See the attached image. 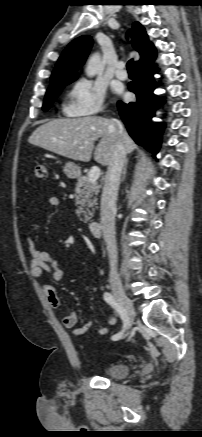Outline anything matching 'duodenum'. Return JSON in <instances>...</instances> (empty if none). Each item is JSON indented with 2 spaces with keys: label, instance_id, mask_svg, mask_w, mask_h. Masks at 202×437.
Wrapping results in <instances>:
<instances>
[{
  "label": "duodenum",
  "instance_id": "410a0bca",
  "mask_svg": "<svg viewBox=\"0 0 202 437\" xmlns=\"http://www.w3.org/2000/svg\"><path fill=\"white\" fill-rule=\"evenodd\" d=\"M88 227H89V231L93 237L98 238L101 236L102 225L99 221L90 222Z\"/></svg>",
  "mask_w": 202,
  "mask_h": 437
}]
</instances>
